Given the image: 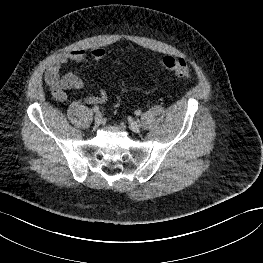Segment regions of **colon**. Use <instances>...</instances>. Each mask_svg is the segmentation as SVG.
Instances as JSON below:
<instances>
[{"instance_id":"1","label":"colon","mask_w":263,"mask_h":263,"mask_svg":"<svg viewBox=\"0 0 263 263\" xmlns=\"http://www.w3.org/2000/svg\"><path fill=\"white\" fill-rule=\"evenodd\" d=\"M160 65L163 69L174 73L176 76L186 81L192 80L189 65L183 58L166 56L161 60Z\"/></svg>"}]
</instances>
